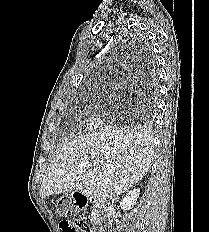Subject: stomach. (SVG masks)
Wrapping results in <instances>:
<instances>
[{"label":"stomach","instance_id":"obj_1","mask_svg":"<svg viewBox=\"0 0 209 232\" xmlns=\"http://www.w3.org/2000/svg\"><path fill=\"white\" fill-rule=\"evenodd\" d=\"M75 203L76 198H68V195L64 194L63 198H58V201H56L58 214H61L62 218H75L78 214Z\"/></svg>","mask_w":209,"mask_h":232}]
</instances>
